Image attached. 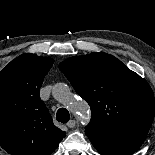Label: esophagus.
<instances>
[{
  "label": "esophagus",
  "mask_w": 155,
  "mask_h": 155,
  "mask_svg": "<svg viewBox=\"0 0 155 155\" xmlns=\"http://www.w3.org/2000/svg\"><path fill=\"white\" fill-rule=\"evenodd\" d=\"M75 125H76V121L73 120V119L70 120V121L67 123V126H68L69 128H74Z\"/></svg>",
  "instance_id": "1"
}]
</instances>
